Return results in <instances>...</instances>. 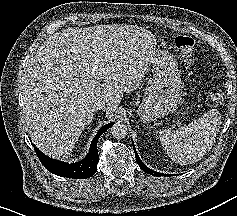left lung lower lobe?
Listing matches in <instances>:
<instances>
[{
    "label": "left lung lower lobe",
    "instance_id": "0a47b994",
    "mask_svg": "<svg viewBox=\"0 0 237 216\" xmlns=\"http://www.w3.org/2000/svg\"><path fill=\"white\" fill-rule=\"evenodd\" d=\"M133 149H134V151H135L136 162H137V164L140 166V168H141L144 172H146V173H148V174H150V175H152V176H166V174H162V173L155 172V171L149 169L148 167H146V166L142 163V161L140 160V158H139V156H138V154H137V152H136V149H135L134 145H133ZM167 176H169V175H167ZM171 176H172V175H171Z\"/></svg>",
    "mask_w": 237,
    "mask_h": 216
}]
</instances>
